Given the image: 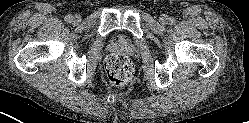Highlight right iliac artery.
Returning a JSON list of instances; mask_svg holds the SVG:
<instances>
[{
  "label": "right iliac artery",
  "mask_w": 249,
  "mask_h": 123,
  "mask_svg": "<svg viewBox=\"0 0 249 123\" xmlns=\"http://www.w3.org/2000/svg\"><path fill=\"white\" fill-rule=\"evenodd\" d=\"M65 21L68 22V23L72 22V21H73V16L70 15V14L67 15V16L65 17Z\"/></svg>",
  "instance_id": "1"
}]
</instances>
